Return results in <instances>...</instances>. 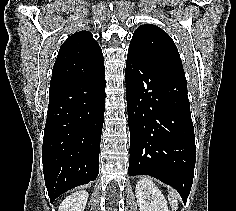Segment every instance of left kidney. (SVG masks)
I'll list each match as a JSON object with an SVG mask.
<instances>
[{
	"label": "left kidney",
	"mask_w": 236,
	"mask_h": 211,
	"mask_svg": "<svg viewBox=\"0 0 236 211\" xmlns=\"http://www.w3.org/2000/svg\"><path fill=\"white\" fill-rule=\"evenodd\" d=\"M135 194L140 211H169L165 197L151 180H139Z\"/></svg>",
	"instance_id": "left-kidney-1"
}]
</instances>
